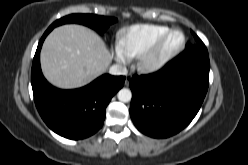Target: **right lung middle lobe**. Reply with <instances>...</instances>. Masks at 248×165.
Listing matches in <instances>:
<instances>
[{
    "label": "right lung middle lobe",
    "mask_w": 248,
    "mask_h": 165,
    "mask_svg": "<svg viewBox=\"0 0 248 165\" xmlns=\"http://www.w3.org/2000/svg\"><path fill=\"white\" fill-rule=\"evenodd\" d=\"M116 21L117 19L112 17L97 16L92 14H71L58 19L50 26V28L53 29L54 27L65 23H79L95 29L102 34L112 23Z\"/></svg>",
    "instance_id": "1"
}]
</instances>
